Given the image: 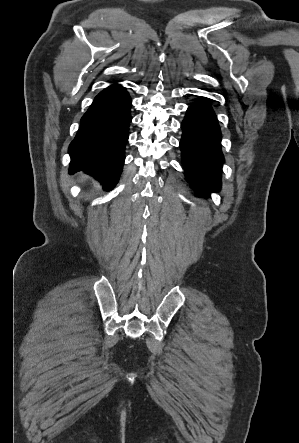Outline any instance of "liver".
<instances>
[{
	"mask_svg": "<svg viewBox=\"0 0 299 443\" xmlns=\"http://www.w3.org/2000/svg\"><path fill=\"white\" fill-rule=\"evenodd\" d=\"M86 178H87L86 175H81L80 180H81V181H84Z\"/></svg>",
	"mask_w": 299,
	"mask_h": 443,
	"instance_id": "1",
	"label": "liver"
}]
</instances>
